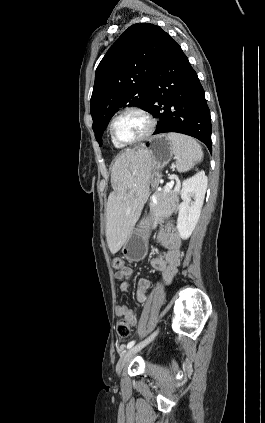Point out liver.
Masks as SVG:
<instances>
[{"label":"liver","instance_id":"obj_1","mask_svg":"<svg viewBox=\"0 0 265 423\" xmlns=\"http://www.w3.org/2000/svg\"><path fill=\"white\" fill-rule=\"evenodd\" d=\"M150 176L151 157L141 149H126L112 167L113 192L106 208V238L112 254L121 249L140 217Z\"/></svg>","mask_w":265,"mask_h":423}]
</instances>
